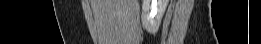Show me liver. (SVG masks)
I'll return each instance as SVG.
<instances>
[{
    "instance_id": "1",
    "label": "liver",
    "mask_w": 261,
    "mask_h": 44,
    "mask_svg": "<svg viewBox=\"0 0 261 44\" xmlns=\"http://www.w3.org/2000/svg\"><path fill=\"white\" fill-rule=\"evenodd\" d=\"M99 44L138 42L137 0H90Z\"/></svg>"
}]
</instances>
